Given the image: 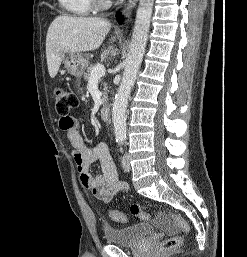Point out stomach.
<instances>
[{
  "label": "stomach",
  "instance_id": "obj_1",
  "mask_svg": "<svg viewBox=\"0 0 247 257\" xmlns=\"http://www.w3.org/2000/svg\"><path fill=\"white\" fill-rule=\"evenodd\" d=\"M65 69L76 77H81L88 67V59L78 52H67L63 59Z\"/></svg>",
  "mask_w": 247,
  "mask_h": 257
}]
</instances>
